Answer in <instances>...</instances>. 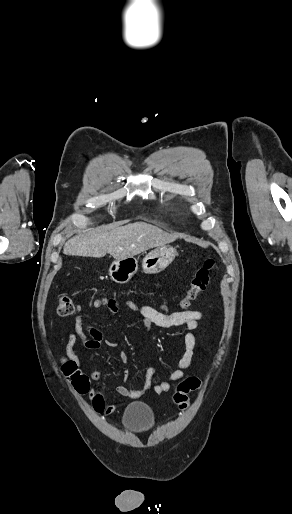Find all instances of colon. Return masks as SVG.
I'll list each match as a JSON object with an SVG mask.
<instances>
[{
  "label": "colon",
  "mask_w": 292,
  "mask_h": 514,
  "mask_svg": "<svg viewBox=\"0 0 292 514\" xmlns=\"http://www.w3.org/2000/svg\"><path fill=\"white\" fill-rule=\"evenodd\" d=\"M215 268V261L208 259L205 263L199 267L191 281V285L184 295L181 302L182 306L187 307L190 303L195 300L200 294H202L211 279V275ZM78 306L74 300L67 294H61L58 297V313L63 317H70L77 313ZM62 371L68 378L73 388L80 393H87L90 389L89 378L86 374L82 373L78 368L76 362L72 360H64L62 363ZM186 379L182 380L176 386V394L173 396V401L181 407H186L189 402L186 396L192 394L193 389L199 387V376L193 373L191 376H186ZM96 402V411L101 413L105 410L103 397L100 394H95L93 397ZM101 416L100 414L98 415Z\"/></svg>",
  "instance_id": "colon-1"
}]
</instances>
